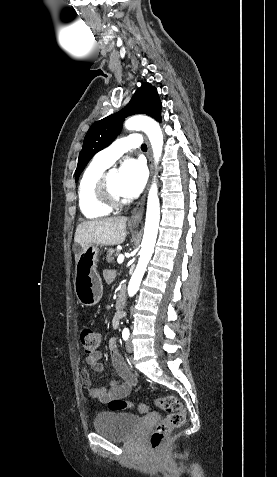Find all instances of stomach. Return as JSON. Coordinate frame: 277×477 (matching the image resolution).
<instances>
[{"mask_svg": "<svg viewBox=\"0 0 277 477\" xmlns=\"http://www.w3.org/2000/svg\"><path fill=\"white\" fill-rule=\"evenodd\" d=\"M99 247L90 244L79 252L75 267L74 290L83 306L96 305L103 294L102 281L97 273Z\"/></svg>", "mask_w": 277, "mask_h": 477, "instance_id": "obj_1", "label": "stomach"}]
</instances>
